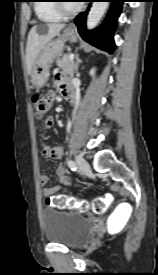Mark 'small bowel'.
Wrapping results in <instances>:
<instances>
[{"label": "small bowel", "mask_w": 158, "mask_h": 275, "mask_svg": "<svg viewBox=\"0 0 158 275\" xmlns=\"http://www.w3.org/2000/svg\"><path fill=\"white\" fill-rule=\"evenodd\" d=\"M56 86L60 90L63 96H65L66 98L72 97V92H71L72 89L68 79L62 76H58L56 78ZM54 96H55V92L51 90L48 93V97L53 99ZM52 126H53L52 118L46 119L43 123V128L46 130L50 129ZM41 154L44 158L60 159L63 155V147L60 145H57V146L43 145ZM56 174L59 178L61 185L65 187L71 186L72 184L71 179L69 176L66 175L63 165L59 164L56 167ZM39 180L42 185H45L48 181V176L43 174L40 176ZM60 189H61V186L44 187L43 194L45 196H52L56 194Z\"/></svg>", "instance_id": "small-bowel-1"}]
</instances>
